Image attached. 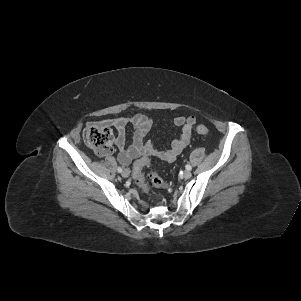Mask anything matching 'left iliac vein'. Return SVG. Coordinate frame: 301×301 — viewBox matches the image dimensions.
<instances>
[{"label": "left iliac vein", "mask_w": 301, "mask_h": 301, "mask_svg": "<svg viewBox=\"0 0 301 301\" xmlns=\"http://www.w3.org/2000/svg\"><path fill=\"white\" fill-rule=\"evenodd\" d=\"M183 176H184L185 179H189V178H191L192 174H191L190 171H187V170H186V171H184Z\"/></svg>", "instance_id": "obj_1"}]
</instances>
